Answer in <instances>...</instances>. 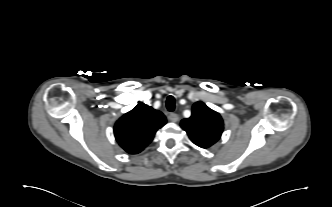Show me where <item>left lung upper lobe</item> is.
Wrapping results in <instances>:
<instances>
[{"label": "left lung upper lobe", "instance_id": "1", "mask_svg": "<svg viewBox=\"0 0 332 207\" xmlns=\"http://www.w3.org/2000/svg\"><path fill=\"white\" fill-rule=\"evenodd\" d=\"M180 125L191 141L201 148H208L216 143L224 128L220 114L201 101L193 105L191 117L183 119Z\"/></svg>", "mask_w": 332, "mask_h": 207}]
</instances>
